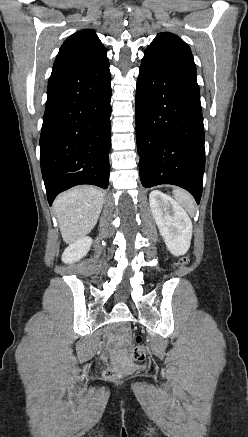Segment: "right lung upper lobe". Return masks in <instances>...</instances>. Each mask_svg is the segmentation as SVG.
Instances as JSON below:
<instances>
[{"label": "right lung upper lobe", "mask_w": 248, "mask_h": 437, "mask_svg": "<svg viewBox=\"0 0 248 437\" xmlns=\"http://www.w3.org/2000/svg\"><path fill=\"white\" fill-rule=\"evenodd\" d=\"M106 49L93 30L72 34L61 46L55 68H86L107 61Z\"/></svg>", "instance_id": "right-lung-upper-lobe-1"}]
</instances>
